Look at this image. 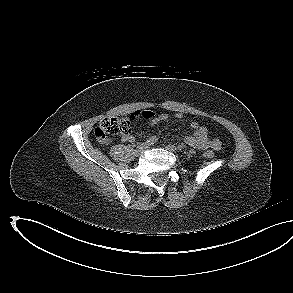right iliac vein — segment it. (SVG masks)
<instances>
[{
    "mask_svg": "<svg viewBox=\"0 0 293 293\" xmlns=\"http://www.w3.org/2000/svg\"><path fill=\"white\" fill-rule=\"evenodd\" d=\"M148 147L149 145L145 143L139 145L135 150L136 155H141Z\"/></svg>",
    "mask_w": 293,
    "mask_h": 293,
    "instance_id": "right-iliac-vein-1",
    "label": "right iliac vein"
}]
</instances>
